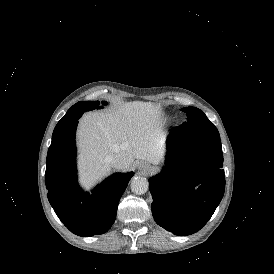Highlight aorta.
I'll list each match as a JSON object with an SVG mask.
<instances>
[{
	"instance_id": "aorta-1",
	"label": "aorta",
	"mask_w": 274,
	"mask_h": 274,
	"mask_svg": "<svg viewBox=\"0 0 274 274\" xmlns=\"http://www.w3.org/2000/svg\"><path fill=\"white\" fill-rule=\"evenodd\" d=\"M149 188V183L144 177H135L131 181V190L137 195H142L147 192Z\"/></svg>"
}]
</instances>
